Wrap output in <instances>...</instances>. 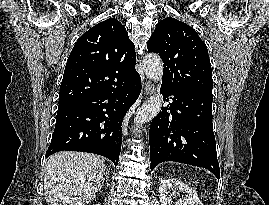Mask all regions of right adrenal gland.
I'll list each match as a JSON object with an SVG mask.
<instances>
[{"label": "right adrenal gland", "mask_w": 269, "mask_h": 205, "mask_svg": "<svg viewBox=\"0 0 269 205\" xmlns=\"http://www.w3.org/2000/svg\"><path fill=\"white\" fill-rule=\"evenodd\" d=\"M108 177H109V171H107L106 176H105V178H104V180L107 181V185H108V181H109ZM104 180H103V181H104Z\"/></svg>", "instance_id": "right-adrenal-gland-1"}]
</instances>
